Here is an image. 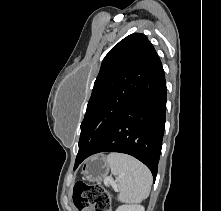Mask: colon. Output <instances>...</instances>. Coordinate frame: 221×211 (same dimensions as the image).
<instances>
[{
	"mask_svg": "<svg viewBox=\"0 0 221 211\" xmlns=\"http://www.w3.org/2000/svg\"><path fill=\"white\" fill-rule=\"evenodd\" d=\"M72 198L79 211H111L109 195L101 185L78 181L73 186Z\"/></svg>",
	"mask_w": 221,
	"mask_h": 211,
	"instance_id": "1",
	"label": "colon"
}]
</instances>
